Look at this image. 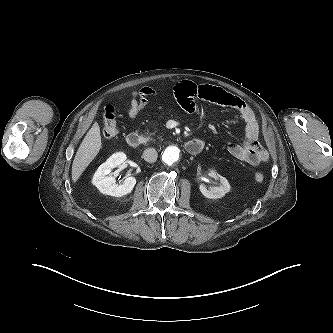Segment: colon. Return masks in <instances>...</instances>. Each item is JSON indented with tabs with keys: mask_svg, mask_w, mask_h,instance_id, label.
<instances>
[{
	"mask_svg": "<svg viewBox=\"0 0 333 333\" xmlns=\"http://www.w3.org/2000/svg\"><path fill=\"white\" fill-rule=\"evenodd\" d=\"M102 129L103 133L107 138H113L118 133L117 118L115 110L111 106H107L102 113ZM265 179L264 175L260 172L255 173L254 180L257 183L263 182Z\"/></svg>",
	"mask_w": 333,
	"mask_h": 333,
	"instance_id": "obj_1",
	"label": "colon"
}]
</instances>
